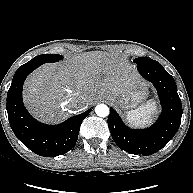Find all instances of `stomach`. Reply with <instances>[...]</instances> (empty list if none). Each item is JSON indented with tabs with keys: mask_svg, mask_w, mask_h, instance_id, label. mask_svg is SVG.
Returning a JSON list of instances; mask_svg holds the SVG:
<instances>
[{
	"mask_svg": "<svg viewBox=\"0 0 193 193\" xmlns=\"http://www.w3.org/2000/svg\"><path fill=\"white\" fill-rule=\"evenodd\" d=\"M147 89L142 84H138L133 89L124 93L107 92L103 96L114 104H118L122 109L135 108L147 97Z\"/></svg>",
	"mask_w": 193,
	"mask_h": 193,
	"instance_id": "1",
	"label": "stomach"
}]
</instances>
